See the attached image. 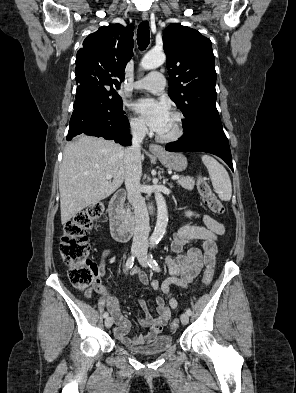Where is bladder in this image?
Returning <instances> with one entry per match:
<instances>
[{
  "mask_svg": "<svg viewBox=\"0 0 296 393\" xmlns=\"http://www.w3.org/2000/svg\"><path fill=\"white\" fill-rule=\"evenodd\" d=\"M173 344L170 335H157L147 346L141 348L125 347L128 351L139 355H153L165 352Z\"/></svg>",
  "mask_w": 296,
  "mask_h": 393,
  "instance_id": "1",
  "label": "bladder"
}]
</instances>
